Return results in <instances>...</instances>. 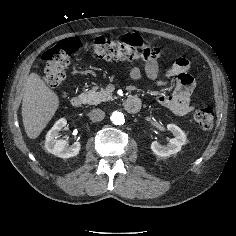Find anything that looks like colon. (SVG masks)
Returning <instances> with one entry per match:
<instances>
[{
  "label": "colon",
  "mask_w": 236,
  "mask_h": 236,
  "mask_svg": "<svg viewBox=\"0 0 236 236\" xmlns=\"http://www.w3.org/2000/svg\"><path fill=\"white\" fill-rule=\"evenodd\" d=\"M79 49L77 38H67L59 41L43 54L45 68L43 79L51 87L61 85L65 79V68L71 55ZM87 49L102 59H117L127 61L149 62L165 55V52L154 46L139 43L117 41L106 37H98L87 45ZM194 119L205 130L211 129L214 123V112L211 108L202 107L195 111Z\"/></svg>",
  "instance_id": "1"
}]
</instances>
